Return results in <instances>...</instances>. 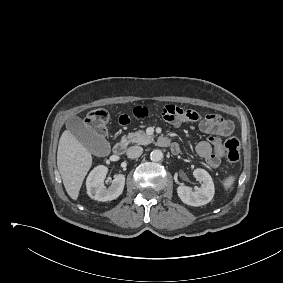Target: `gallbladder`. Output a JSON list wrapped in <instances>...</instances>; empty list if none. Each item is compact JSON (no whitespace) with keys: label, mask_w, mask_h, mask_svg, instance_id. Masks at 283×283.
<instances>
[{"label":"gallbladder","mask_w":283,"mask_h":283,"mask_svg":"<svg viewBox=\"0 0 283 283\" xmlns=\"http://www.w3.org/2000/svg\"><path fill=\"white\" fill-rule=\"evenodd\" d=\"M67 128L90 153L97 156H106L110 153V144L105 137L89 128L81 118H71Z\"/></svg>","instance_id":"bac80fb5"}]
</instances>
